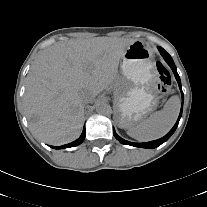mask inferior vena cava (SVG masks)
I'll return each instance as SVG.
<instances>
[{
    "label": "inferior vena cava",
    "instance_id": "1",
    "mask_svg": "<svg viewBox=\"0 0 207 207\" xmlns=\"http://www.w3.org/2000/svg\"><path fill=\"white\" fill-rule=\"evenodd\" d=\"M80 97L83 103H91L95 98V96L89 91H83Z\"/></svg>",
    "mask_w": 207,
    "mask_h": 207
}]
</instances>
